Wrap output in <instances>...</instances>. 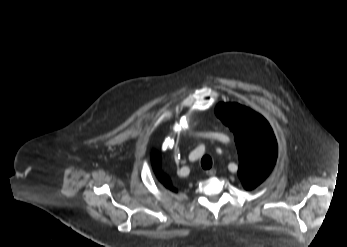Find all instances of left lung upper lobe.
Instances as JSON below:
<instances>
[{"mask_svg":"<svg viewBox=\"0 0 347 247\" xmlns=\"http://www.w3.org/2000/svg\"><path fill=\"white\" fill-rule=\"evenodd\" d=\"M215 113L235 135L239 156L238 176L246 190L263 182L277 158V142L260 114L237 103H219Z\"/></svg>","mask_w":347,"mask_h":247,"instance_id":"left-lung-upper-lobe-1","label":"left lung upper lobe"}]
</instances>
